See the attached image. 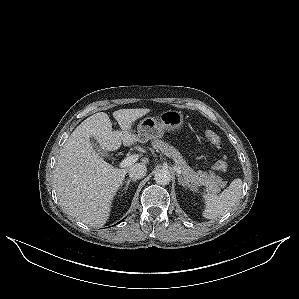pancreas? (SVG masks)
<instances>
[{"mask_svg":"<svg viewBox=\"0 0 299 299\" xmlns=\"http://www.w3.org/2000/svg\"><path fill=\"white\" fill-rule=\"evenodd\" d=\"M152 145L154 149H159L167 157L174 160L175 165L181 169L186 182H191L194 185H203L211 192H219L220 188L224 186L222 178L216 176L212 171L209 173L201 170L195 172L186 164L180 152L166 142L162 140H154Z\"/></svg>","mask_w":299,"mask_h":299,"instance_id":"obj_1","label":"pancreas"}]
</instances>
